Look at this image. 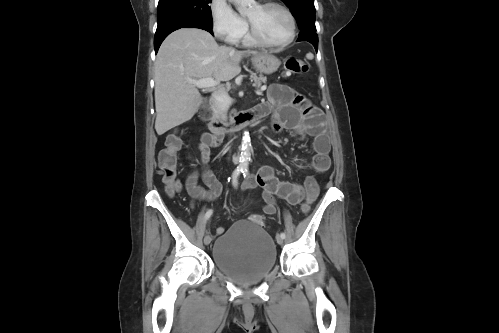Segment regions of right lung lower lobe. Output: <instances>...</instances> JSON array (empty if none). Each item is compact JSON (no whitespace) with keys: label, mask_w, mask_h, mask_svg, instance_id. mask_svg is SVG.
Segmentation results:
<instances>
[{"label":"right lung lower lobe","mask_w":499,"mask_h":333,"mask_svg":"<svg viewBox=\"0 0 499 333\" xmlns=\"http://www.w3.org/2000/svg\"><path fill=\"white\" fill-rule=\"evenodd\" d=\"M187 27H192V28H200L203 30H206L208 32L212 33V25H208L206 23H201V22H185V23H177L173 25L166 26L160 30L156 31L155 37H154V48H155V53H157L162 41L173 31L180 29V28H187Z\"/></svg>","instance_id":"1"}]
</instances>
